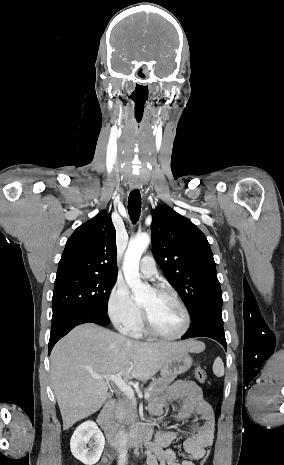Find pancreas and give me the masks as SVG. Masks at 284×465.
I'll list each match as a JSON object with an SVG mask.
<instances>
[{"label": "pancreas", "instance_id": "cf45deb5", "mask_svg": "<svg viewBox=\"0 0 284 465\" xmlns=\"http://www.w3.org/2000/svg\"><path fill=\"white\" fill-rule=\"evenodd\" d=\"M177 373H169L164 375L163 379H156L150 383L148 389H145V393H150V399H156L158 395H162L166 391L168 385H171L172 381L176 379ZM125 403V423L131 425V427H137L138 415L137 407L133 401H124Z\"/></svg>", "mask_w": 284, "mask_h": 465}]
</instances>
